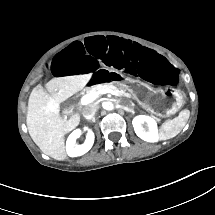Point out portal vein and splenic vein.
I'll return each instance as SVG.
<instances>
[{"instance_id":"1","label":"portal vein and splenic vein","mask_w":215,"mask_h":215,"mask_svg":"<svg viewBox=\"0 0 215 215\" xmlns=\"http://www.w3.org/2000/svg\"><path fill=\"white\" fill-rule=\"evenodd\" d=\"M107 93L115 95V96H122L124 94L122 91L115 90L113 86H104L103 89H101V90H99L97 92L89 93V94L84 95L81 98V104L82 105H87V104L93 102L94 100H96V98L100 94H107Z\"/></svg>"}]
</instances>
